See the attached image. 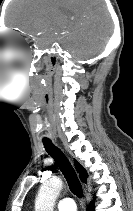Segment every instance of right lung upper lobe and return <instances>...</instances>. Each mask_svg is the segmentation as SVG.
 <instances>
[{
	"mask_svg": "<svg viewBox=\"0 0 133 211\" xmlns=\"http://www.w3.org/2000/svg\"><path fill=\"white\" fill-rule=\"evenodd\" d=\"M74 165H75L77 172L79 173V177H80L81 181L86 183L87 177H88L86 170L76 160L74 161Z\"/></svg>",
	"mask_w": 133,
	"mask_h": 211,
	"instance_id": "obj_1",
	"label": "right lung upper lobe"
}]
</instances>
